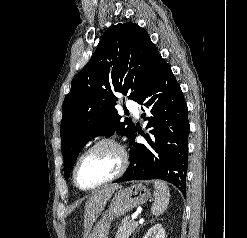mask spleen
Returning a JSON list of instances; mask_svg holds the SVG:
<instances>
[{
	"label": "spleen",
	"mask_w": 247,
	"mask_h": 238,
	"mask_svg": "<svg viewBox=\"0 0 247 238\" xmlns=\"http://www.w3.org/2000/svg\"><path fill=\"white\" fill-rule=\"evenodd\" d=\"M154 203L152 204L151 211L155 216L161 215L169 204L170 193L167 184L160 180L154 182Z\"/></svg>",
	"instance_id": "1"
}]
</instances>
